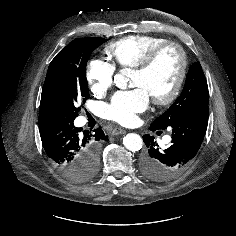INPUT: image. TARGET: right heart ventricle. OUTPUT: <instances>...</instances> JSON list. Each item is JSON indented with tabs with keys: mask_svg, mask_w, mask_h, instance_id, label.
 <instances>
[{
	"mask_svg": "<svg viewBox=\"0 0 236 236\" xmlns=\"http://www.w3.org/2000/svg\"><path fill=\"white\" fill-rule=\"evenodd\" d=\"M167 41L156 35H130L108 44L105 52L114 66L136 67L153 48Z\"/></svg>",
	"mask_w": 236,
	"mask_h": 236,
	"instance_id": "1",
	"label": "right heart ventricle"
}]
</instances>
